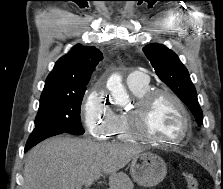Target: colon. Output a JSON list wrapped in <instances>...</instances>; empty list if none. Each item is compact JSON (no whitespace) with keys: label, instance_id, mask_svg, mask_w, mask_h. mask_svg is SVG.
<instances>
[{"label":"colon","instance_id":"1","mask_svg":"<svg viewBox=\"0 0 223 189\" xmlns=\"http://www.w3.org/2000/svg\"><path fill=\"white\" fill-rule=\"evenodd\" d=\"M183 175L186 180L188 189H199V181L194 173L184 172Z\"/></svg>","mask_w":223,"mask_h":189}]
</instances>
